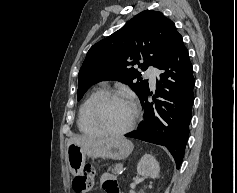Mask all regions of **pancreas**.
<instances>
[{
    "mask_svg": "<svg viewBox=\"0 0 237 193\" xmlns=\"http://www.w3.org/2000/svg\"><path fill=\"white\" fill-rule=\"evenodd\" d=\"M122 164L121 163H117L115 165H112V167L108 168V171H112L115 174H118L121 170H122Z\"/></svg>",
    "mask_w": 237,
    "mask_h": 193,
    "instance_id": "pancreas-1",
    "label": "pancreas"
}]
</instances>
